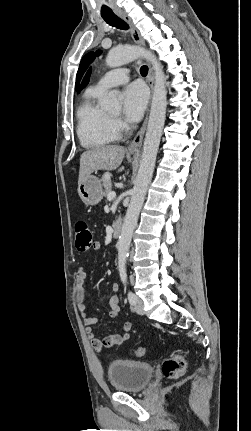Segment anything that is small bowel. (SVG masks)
<instances>
[{
	"instance_id": "small-bowel-1",
	"label": "small bowel",
	"mask_w": 251,
	"mask_h": 431,
	"mask_svg": "<svg viewBox=\"0 0 251 431\" xmlns=\"http://www.w3.org/2000/svg\"><path fill=\"white\" fill-rule=\"evenodd\" d=\"M96 251H101L102 247L100 243H96L94 246ZM87 279V269L85 267H79L76 272V294H77V308L81 313L83 323L86 327V334L90 339L91 346L95 351H102L103 349H108L116 346H120L125 343L130 338L131 323L124 322L121 325L122 332L118 334L108 335L104 338H99L95 332V325L97 324V318L90 316L86 313V293L84 284ZM119 285L114 283L112 285V290L117 292ZM109 316L115 318L120 314V299L118 295H113L109 300Z\"/></svg>"
}]
</instances>
